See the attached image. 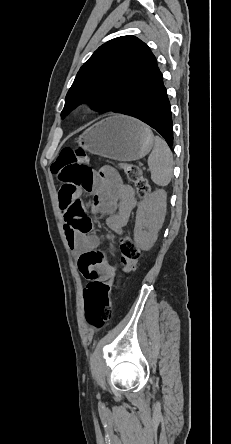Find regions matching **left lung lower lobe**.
I'll return each instance as SVG.
<instances>
[{
    "instance_id": "left-lung-lower-lobe-1",
    "label": "left lung lower lobe",
    "mask_w": 231,
    "mask_h": 444,
    "mask_svg": "<svg viewBox=\"0 0 231 444\" xmlns=\"http://www.w3.org/2000/svg\"><path fill=\"white\" fill-rule=\"evenodd\" d=\"M118 113L135 117L154 128L173 147V125L170 102L157 61L144 74L141 82Z\"/></svg>"
}]
</instances>
